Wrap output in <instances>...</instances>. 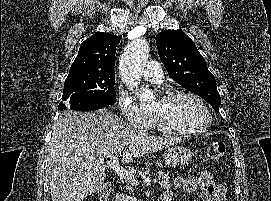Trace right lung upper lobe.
I'll return each instance as SVG.
<instances>
[{"instance_id": "1", "label": "right lung upper lobe", "mask_w": 271, "mask_h": 201, "mask_svg": "<svg viewBox=\"0 0 271 201\" xmlns=\"http://www.w3.org/2000/svg\"><path fill=\"white\" fill-rule=\"evenodd\" d=\"M121 38L122 36L104 32H97L92 35L81 44L69 73L115 74L114 58L116 47Z\"/></svg>"}]
</instances>
